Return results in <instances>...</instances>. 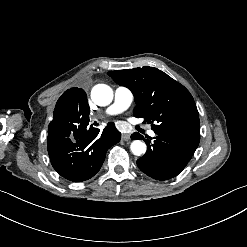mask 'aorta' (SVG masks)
Returning <instances> with one entry per match:
<instances>
[{
  "instance_id": "762f6f07",
  "label": "aorta",
  "mask_w": 247,
  "mask_h": 247,
  "mask_svg": "<svg viewBox=\"0 0 247 247\" xmlns=\"http://www.w3.org/2000/svg\"><path fill=\"white\" fill-rule=\"evenodd\" d=\"M91 99L98 106H107L113 99V91L106 84L95 85L91 91ZM130 149L134 155L140 156L146 152V144L140 140H134Z\"/></svg>"
}]
</instances>
